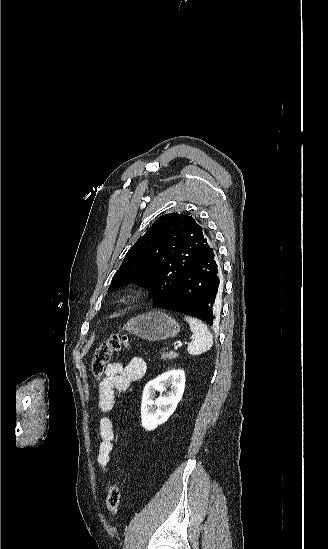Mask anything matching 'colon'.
<instances>
[{
	"label": "colon",
	"instance_id": "1",
	"mask_svg": "<svg viewBox=\"0 0 328 549\" xmlns=\"http://www.w3.org/2000/svg\"><path fill=\"white\" fill-rule=\"evenodd\" d=\"M129 347V339L126 335H112L102 341L95 349L91 362V371L99 379L110 361L113 353ZM121 492L117 482H111L106 496V508L115 515L120 506Z\"/></svg>",
	"mask_w": 328,
	"mask_h": 549
}]
</instances>
